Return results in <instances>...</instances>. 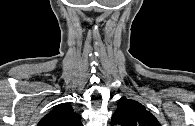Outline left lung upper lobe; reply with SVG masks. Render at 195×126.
<instances>
[{"label":"left lung upper lobe","instance_id":"1","mask_svg":"<svg viewBox=\"0 0 195 126\" xmlns=\"http://www.w3.org/2000/svg\"><path fill=\"white\" fill-rule=\"evenodd\" d=\"M112 125L121 126H161L139 102L122 97L118 101V108L112 115Z\"/></svg>","mask_w":195,"mask_h":126}]
</instances>
